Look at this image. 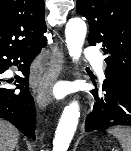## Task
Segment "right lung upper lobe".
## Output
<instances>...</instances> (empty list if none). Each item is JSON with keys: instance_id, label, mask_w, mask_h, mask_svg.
Wrapping results in <instances>:
<instances>
[{"instance_id": "cb5924a9", "label": "right lung upper lobe", "mask_w": 131, "mask_h": 151, "mask_svg": "<svg viewBox=\"0 0 131 151\" xmlns=\"http://www.w3.org/2000/svg\"><path fill=\"white\" fill-rule=\"evenodd\" d=\"M44 0H0V51L46 44Z\"/></svg>"}]
</instances>
